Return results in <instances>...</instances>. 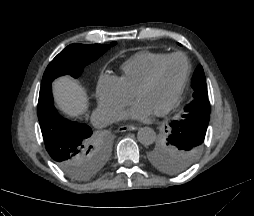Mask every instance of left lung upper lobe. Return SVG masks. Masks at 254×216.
Instances as JSON below:
<instances>
[{"mask_svg":"<svg viewBox=\"0 0 254 216\" xmlns=\"http://www.w3.org/2000/svg\"><path fill=\"white\" fill-rule=\"evenodd\" d=\"M192 101L185 113L166 127L168 137L148 152L149 161L159 170L177 174L192 165L199 155L209 123L210 103L205 74L200 65L192 81Z\"/></svg>","mask_w":254,"mask_h":216,"instance_id":"obj_1","label":"left lung upper lobe"}]
</instances>
